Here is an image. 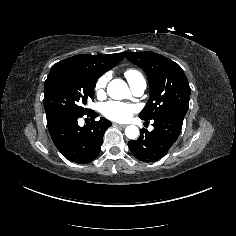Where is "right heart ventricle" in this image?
<instances>
[{"label": "right heart ventricle", "instance_id": "right-heart-ventricle-1", "mask_svg": "<svg viewBox=\"0 0 236 236\" xmlns=\"http://www.w3.org/2000/svg\"><path fill=\"white\" fill-rule=\"evenodd\" d=\"M125 76L129 80V82H132V81L136 80L137 78L142 77V75L135 69H128L125 72Z\"/></svg>", "mask_w": 236, "mask_h": 236}]
</instances>
